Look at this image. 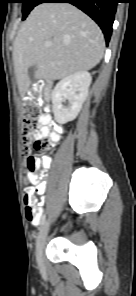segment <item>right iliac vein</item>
Segmentation results:
<instances>
[{
  "mask_svg": "<svg viewBox=\"0 0 136 296\" xmlns=\"http://www.w3.org/2000/svg\"><path fill=\"white\" fill-rule=\"evenodd\" d=\"M48 229H49V221H47L41 228L36 241V259L40 267H43V263H44L43 249H44L46 237L48 234Z\"/></svg>",
  "mask_w": 136,
  "mask_h": 296,
  "instance_id": "63e3f726",
  "label": "right iliac vein"
}]
</instances>
